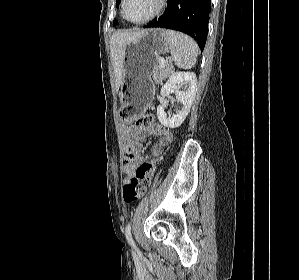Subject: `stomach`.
I'll return each instance as SVG.
<instances>
[{
  "instance_id": "obj_1",
  "label": "stomach",
  "mask_w": 299,
  "mask_h": 280,
  "mask_svg": "<svg viewBox=\"0 0 299 280\" xmlns=\"http://www.w3.org/2000/svg\"><path fill=\"white\" fill-rule=\"evenodd\" d=\"M163 29L143 30L125 48L123 82L119 97L124 118H134L145 112L153 96L151 80L158 57L169 50Z\"/></svg>"
}]
</instances>
